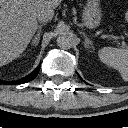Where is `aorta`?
<instances>
[{
  "instance_id": "obj_1",
  "label": "aorta",
  "mask_w": 128,
  "mask_h": 128,
  "mask_svg": "<svg viewBox=\"0 0 128 128\" xmlns=\"http://www.w3.org/2000/svg\"><path fill=\"white\" fill-rule=\"evenodd\" d=\"M74 43V36L70 32L64 31L57 38V44L61 49H70Z\"/></svg>"
}]
</instances>
